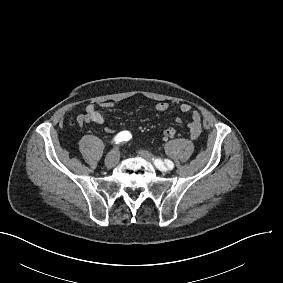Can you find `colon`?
Returning <instances> with one entry per match:
<instances>
[{"mask_svg": "<svg viewBox=\"0 0 283 283\" xmlns=\"http://www.w3.org/2000/svg\"><path fill=\"white\" fill-rule=\"evenodd\" d=\"M176 135V129L173 127H169L163 131V138L165 140H170L174 138Z\"/></svg>", "mask_w": 283, "mask_h": 283, "instance_id": "1", "label": "colon"}]
</instances>
